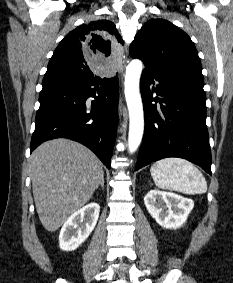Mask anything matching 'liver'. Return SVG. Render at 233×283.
Returning a JSON list of instances; mask_svg holds the SVG:
<instances>
[{"label":"liver","mask_w":233,"mask_h":283,"mask_svg":"<svg viewBox=\"0 0 233 283\" xmlns=\"http://www.w3.org/2000/svg\"><path fill=\"white\" fill-rule=\"evenodd\" d=\"M30 169L36 210L49 232L58 230L90 200L103 175L102 163L93 152L65 138L36 148Z\"/></svg>","instance_id":"1"}]
</instances>
